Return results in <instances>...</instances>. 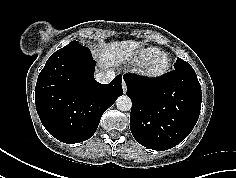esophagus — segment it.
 <instances>
[{
  "instance_id": "1",
  "label": "esophagus",
  "mask_w": 236,
  "mask_h": 178,
  "mask_svg": "<svg viewBox=\"0 0 236 178\" xmlns=\"http://www.w3.org/2000/svg\"><path fill=\"white\" fill-rule=\"evenodd\" d=\"M122 89H123L124 93L127 92V86H126V82L124 80H122Z\"/></svg>"
}]
</instances>
